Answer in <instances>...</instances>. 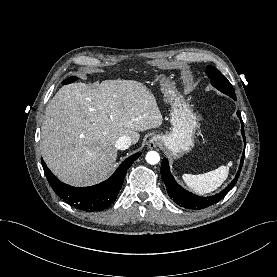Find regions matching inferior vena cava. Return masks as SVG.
<instances>
[{"instance_id": "inferior-vena-cava-1", "label": "inferior vena cava", "mask_w": 277, "mask_h": 277, "mask_svg": "<svg viewBox=\"0 0 277 277\" xmlns=\"http://www.w3.org/2000/svg\"><path fill=\"white\" fill-rule=\"evenodd\" d=\"M131 146V138L129 136H121L116 141L115 147L119 150L128 149Z\"/></svg>"}]
</instances>
